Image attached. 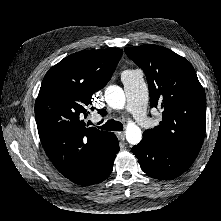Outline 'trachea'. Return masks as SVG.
<instances>
[{
    "instance_id": "1",
    "label": "trachea",
    "mask_w": 221,
    "mask_h": 221,
    "mask_svg": "<svg viewBox=\"0 0 221 221\" xmlns=\"http://www.w3.org/2000/svg\"><path fill=\"white\" fill-rule=\"evenodd\" d=\"M101 122L97 124V127L102 130L107 131H122L123 130V124L119 121H115L114 119L108 120L105 124L100 125Z\"/></svg>"
}]
</instances>
